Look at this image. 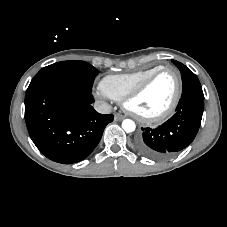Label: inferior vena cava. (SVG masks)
I'll return each instance as SVG.
<instances>
[{"mask_svg":"<svg viewBox=\"0 0 227 227\" xmlns=\"http://www.w3.org/2000/svg\"><path fill=\"white\" fill-rule=\"evenodd\" d=\"M94 108L101 114H109L112 110V107L108 103L103 101H96L94 103Z\"/></svg>","mask_w":227,"mask_h":227,"instance_id":"obj_1","label":"inferior vena cava"}]
</instances>
